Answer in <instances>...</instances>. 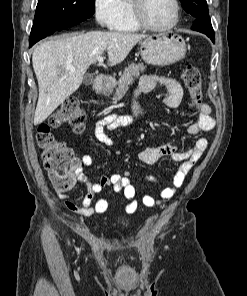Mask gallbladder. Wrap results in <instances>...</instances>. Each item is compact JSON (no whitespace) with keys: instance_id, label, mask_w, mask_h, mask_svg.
I'll use <instances>...</instances> for the list:
<instances>
[{"instance_id":"obj_1","label":"gallbladder","mask_w":247,"mask_h":296,"mask_svg":"<svg viewBox=\"0 0 247 296\" xmlns=\"http://www.w3.org/2000/svg\"><path fill=\"white\" fill-rule=\"evenodd\" d=\"M93 82V76L92 75H86L84 77V84L85 85H91Z\"/></svg>"}]
</instances>
